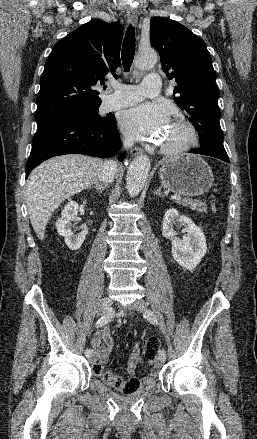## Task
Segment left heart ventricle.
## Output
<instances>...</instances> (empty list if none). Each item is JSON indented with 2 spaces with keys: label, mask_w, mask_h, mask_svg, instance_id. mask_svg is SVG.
<instances>
[{
  "label": "left heart ventricle",
  "mask_w": 257,
  "mask_h": 439,
  "mask_svg": "<svg viewBox=\"0 0 257 439\" xmlns=\"http://www.w3.org/2000/svg\"><path fill=\"white\" fill-rule=\"evenodd\" d=\"M187 139L186 132L183 128L170 125L165 132L162 144L166 146H175L183 144Z\"/></svg>",
  "instance_id": "left-heart-ventricle-1"
}]
</instances>
